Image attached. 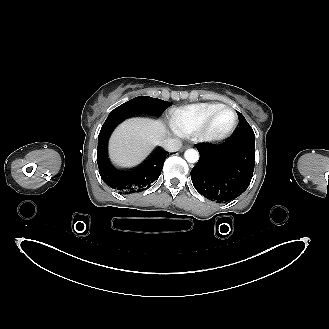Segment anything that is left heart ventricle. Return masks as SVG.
<instances>
[{
	"label": "left heart ventricle",
	"instance_id": "b2bd125f",
	"mask_svg": "<svg viewBox=\"0 0 329 329\" xmlns=\"http://www.w3.org/2000/svg\"><path fill=\"white\" fill-rule=\"evenodd\" d=\"M234 114L230 110L220 112L214 119L210 132L215 135L227 132L233 125Z\"/></svg>",
	"mask_w": 329,
	"mask_h": 329
}]
</instances>
